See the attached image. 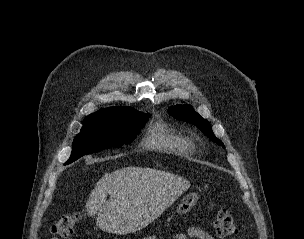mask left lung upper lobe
Returning a JSON list of instances; mask_svg holds the SVG:
<instances>
[{
    "mask_svg": "<svg viewBox=\"0 0 304 239\" xmlns=\"http://www.w3.org/2000/svg\"><path fill=\"white\" fill-rule=\"evenodd\" d=\"M168 113L176 119L196 125L213 142L224 147L222 141L215 137L211 130L210 123L195 112L190 105L185 104L170 107Z\"/></svg>",
    "mask_w": 304,
    "mask_h": 239,
    "instance_id": "5c2ea615",
    "label": "left lung upper lobe"
}]
</instances>
